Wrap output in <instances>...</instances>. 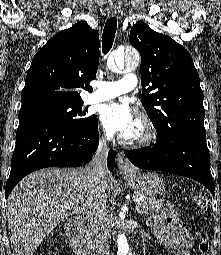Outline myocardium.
<instances>
[{
	"instance_id": "f54148a6",
	"label": "myocardium",
	"mask_w": 221,
	"mask_h": 255,
	"mask_svg": "<svg viewBox=\"0 0 221 255\" xmlns=\"http://www.w3.org/2000/svg\"><path fill=\"white\" fill-rule=\"evenodd\" d=\"M136 124L140 130L139 135L133 138L123 135L120 138V142L127 147L135 149L150 146L156 138V131L153 123L147 116L140 114L136 119Z\"/></svg>"
}]
</instances>
